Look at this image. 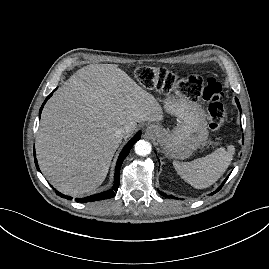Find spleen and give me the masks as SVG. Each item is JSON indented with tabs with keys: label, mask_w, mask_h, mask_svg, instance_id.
Masks as SVG:
<instances>
[{
	"label": "spleen",
	"mask_w": 269,
	"mask_h": 269,
	"mask_svg": "<svg viewBox=\"0 0 269 269\" xmlns=\"http://www.w3.org/2000/svg\"><path fill=\"white\" fill-rule=\"evenodd\" d=\"M235 148L229 145L227 150L218 148L213 153L191 162L173 161V165L180 177L197 189H203L214 184L227 170Z\"/></svg>",
	"instance_id": "1"
}]
</instances>
